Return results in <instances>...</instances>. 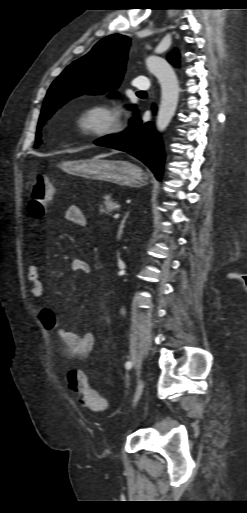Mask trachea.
<instances>
[{
	"label": "trachea",
	"instance_id": "trachea-1",
	"mask_svg": "<svg viewBox=\"0 0 247 513\" xmlns=\"http://www.w3.org/2000/svg\"><path fill=\"white\" fill-rule=\"evenodd\" d=\"M139 94H146L144 91H139ZM245 280H247V277H245Z\"/></svg>",
	"mask_w": 247,
	"mask_h": 513
}]
</instances>
